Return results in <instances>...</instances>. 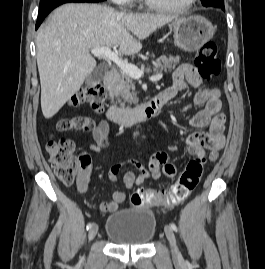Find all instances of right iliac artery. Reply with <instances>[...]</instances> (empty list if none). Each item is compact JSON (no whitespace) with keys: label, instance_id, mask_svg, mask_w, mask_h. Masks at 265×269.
I'll return each mask as SVG.
<instances>
[{"label":"right iliac artery","instance_id":"1","mask_svg":"<svg viewBox=\"0 0 265 269\" xmlns=\"http://www.w3.org/2000/svg\"><path fill=\"white\" fill-rule=\"evenodd\" d=\"M92 227V223H88L86 229L89 230Z\"/></svg>","mask_w":265,"mask_h":269}]
</instances>
